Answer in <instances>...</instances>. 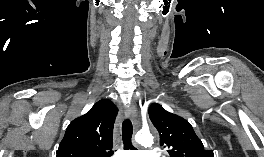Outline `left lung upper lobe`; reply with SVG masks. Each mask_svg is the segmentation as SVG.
<instances>
[{
	"mask_svg": "<svg viewBox=\"0 0 264 157\" xmlns=\"http://www.w3.org/2000/svg\"><path fill=\"white\" fill-rule=\"evenodd\" d=\"M149 117L159 132L160 145L168 148L170 157H214L213 150H205L188 121L166 111L160 104L149 107Z\"/></svg>",
	"mask_w": 264,
	"mask_h": 157,
	"instance_id": "left-lung-upper-lobe-1",
	"label": "left lung upper lobe"
}]
</instances>
